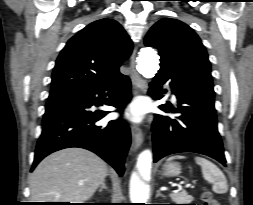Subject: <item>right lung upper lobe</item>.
Wrapping results in <instances>:
<instances>
[{
	"label": "right lung upper lobe",
	"mask_w": 253,
	"mask_h": 205,
	"mask_svg": "<svg viewBox=\"0 0 253 205\" xmlns=\"http://www.w3.org/2000/svg\"><path fill=\"white\" fill-rule=\"evenodd\" d=\"M132 41L113 19H100L73 36L57 58L49 100L99 88L122 74Z\"/></svg>",
	"instance_id": "right-lung-upper-lobe-1"
}]
</instances>
